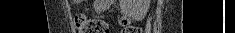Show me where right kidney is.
Segmentation results:
<instances>
[{
    "label": "right kidney",
    "mask_w": 235,
    "mask_h": 33,
    "mask_svg": "<svg viewBox=\"0 0 235 33\" xmlns=\"http://www.w3.org/2000/svg\"><path fill=\"white\" fill-rule=\"evenodd\" d=\"M123 13L133 18H143L149 8V0H121Z\"/></svg>",
    "instance_id": "1"
}]
</instances>
